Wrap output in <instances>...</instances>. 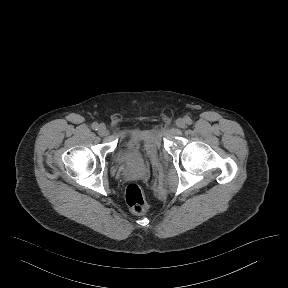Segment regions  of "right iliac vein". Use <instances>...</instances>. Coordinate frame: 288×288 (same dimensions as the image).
Returning <instances> with one entry per match:
<instances>
[{
  "label": "right iliac vein",
  "mask_w": 288,
  "mask_h": 288,
  "mask_svg": "<svg viewBox=\"0 0 288 288\" xmlns=\"http://www.w3.org/2000/svg\"><path fill=\"white\" fill-rule=\"evenodd\" d=\"M98 134L100 136H105L107 134V128L104 124H100L98 127Z\"/></svg>",
  "instance_id": "obj_1"
}]
</instances>
